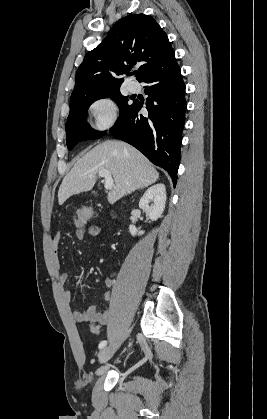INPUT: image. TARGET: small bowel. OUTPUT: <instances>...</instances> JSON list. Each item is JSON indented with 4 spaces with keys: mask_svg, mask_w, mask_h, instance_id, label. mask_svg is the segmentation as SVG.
<instances>
[{
    "mask_svg": "<svg viewBox=\"0 0 267 419\" xmlns=\"http://www.w3.org/2000/svg\"><path fill=\"white\" fill-rule=\"evenodd\" d=\"M75 220V219H74ZM102 233V229L98 226H88L87 223L83 225H77L76 228L73 231L74 236L78 240H85L87 238L96 237ZM65 232L60 231L58 232L52 239V253H53V259H54V267L58 272V280L59 283L64 285L68 281V274L67 273H60V264H59V258H58V245L63 238ZM104 285L109 289L104 292L103 294V300L104 301H110L112 297L111 288L114 286V280L112 278H106L104 280ZM64 297L67 300L71 299V292L70 291H64ZM73 318L77 322H93L97 323L99 325H105L109 320V311L107 309H99L97 305H92L88 307L84 311L74 310L72 312Z\"/></svg>",
    "mask_w": 267,
    "mask_h": 419,
    "instance_id": "1",
    "label": "small bowel"
}]
</instances>
